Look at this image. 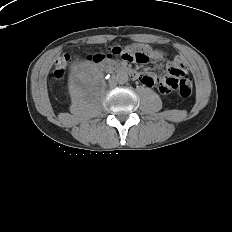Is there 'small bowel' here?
<instances>
[{
    "label": "small bowel",
    "mask_w": 232,
    "mask_h": 232,
    "mask_svg": "<svg viewBox=\"0 0 232 232\" xmlns=\"http://www.w3.org/2000/svg\"><path fill=\"white\" fill-rule=\"evenodd\" d=\"M137 48L148 49V47L144 45H138ZM173 66L184 70L185 64H184L183 59L180 57H176L174 59ZM141 83L147 87H160V89H162L164 86V82L161 78H159L158 76L154 74H149V73L142 75Z\"/></svg>",
    "instance_id": "c3829d8e"
}]
</instances>
